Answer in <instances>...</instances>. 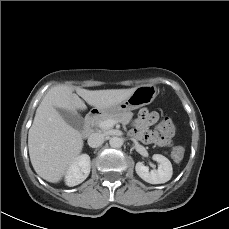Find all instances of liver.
Segmentation results:
<instances>
[{
    "label": "liver",
    "instance_id": "6515ba94",
    "mask_svg": "<svg viewBox=\"0 0 229 229\" xmlns=\"http://www.w3.org/2000/svg\"><path fill=\"white\" fill-rule=\"evenodd\" d=\"M135 89L87 90L67 85L52 87L38 106L28 133L29 155L35 172L44 180L57 183L82 151V134L63 119L58 108L73 113L86 110L81 98L96 109L106 108L126 100Z\"/></svg>",
    "mask_w": 229,
    "mask_h": 229
}]
</instances>
